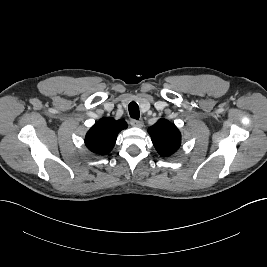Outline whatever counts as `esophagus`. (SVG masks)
Returning <instances> with one entry per match:
<instances>
[{"label": "esophagus", "mask_w": 267, "mask_h": 267, "mask_svg": "<svg viewBox=\"0 0 267 267\" xmlns=\"http://www.w3.org/2000/svg\"><path fill=\"white\" fill-rule=\"evenodd\" d=\"M130 124H131L133 127H142V126H143V121H142V120L132 119V120L130 121Z\"/></svg>", "instance_id": "obj_1"}]
</instances>
